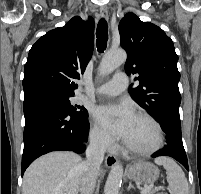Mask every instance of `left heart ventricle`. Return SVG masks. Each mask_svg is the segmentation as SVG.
Instances as JSON below:
<instances>
[{
  "label": "left heart ventricle",
  "instance_id": "1",
  "mask_svg": "<svg viewBox=\"0 0 201 194\" xmlns=\"http://www.w3.org/2000/svg\"><path fill=\"white\" fill-rule=\"evenodd\" d=\"M157 133L147 120L135 117L125 142L138 149H149L156 144Z\"/></svg>",
  "mask_w": 201,
  "mask_h": 194
}]
</instances>
